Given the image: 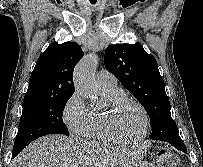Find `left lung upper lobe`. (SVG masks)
<instances>
[{"label":"left lung upper lobe","instance_id":"left-lung-upper-lobe-1","mask_svg":"<svg viewBox=\"0 0 203 167\" xmlns=\"http://www.w3.org/2000/svg\"><path fill=\"white\" fill-rule=\"evenodd\" d=\"M104 62L106 69L146 109L151 120L150 139L163 141L170 135L179 136L156 59L147 54L141 44L110 45L105 51Z\"/></svg>","mask_w":203,"mask_h":167}]
</instances>
